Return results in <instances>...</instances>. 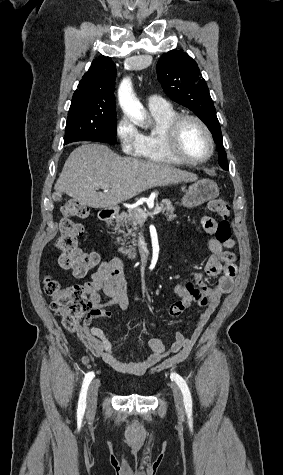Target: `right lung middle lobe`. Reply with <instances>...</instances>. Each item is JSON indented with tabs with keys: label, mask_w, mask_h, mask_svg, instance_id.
<instances>
[{
	"label": "right lung middle lobe",
	"mask_w": 283,
	"mask_h": 475,
	"mask_svg": "<svg viewBox=\"0 0 283 475\" xmlns=\"http://www.w3.org/2000/svg\"><path fill=\"white\" fill-rule=\"evenodd\" d=\"M115 105L72 101L66 123L64 144L96 141L116 144Z\"/></svg>",
	"instance_id": "right-lung-middle-lobe-1"
}]
</instances>
